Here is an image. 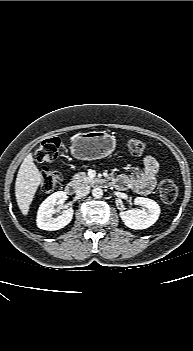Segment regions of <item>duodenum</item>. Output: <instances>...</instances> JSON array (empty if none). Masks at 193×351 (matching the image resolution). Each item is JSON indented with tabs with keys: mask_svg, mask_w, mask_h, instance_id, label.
<instances>
[{
	"mask_svg": "<svg viewBox=\"0 0 193 351\" xmlns=\"http://www.w3.org/2000/svg\"><path fill=\"white\" fill-rule=\"evenodd\" d=\"M103 184H110L111 183V180L110 179H104L102 181ZM66 191L69 195H72L75 193V183L70 181L67 183L66 185Z\"/></svg>",
	"mask_w": 193,
	"mask_h": 351,
	"instance_id": "410a0bca",
	"label": "duodenum"
}]
</instances>
